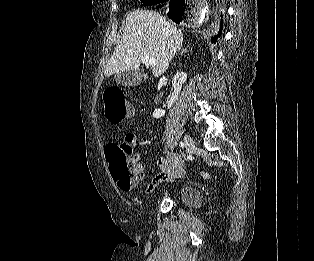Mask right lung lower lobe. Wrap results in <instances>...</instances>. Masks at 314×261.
<instances>
[{"label":"right lung lower lobe","mask_w":314,"mask_h":261,"mask_svg":"<svg viewBox=\"0 0 314 261\" xmlns=\"http://www.w3.org/2000/svg\"><path fill=\"white\" fill-rule=\"evenodd\" d=\"M159 3H163L166 5V7H168V17L170 19H172L174 22L176 23H180L182 20H185L186 16H185V10H186V5L183 1H179V0H162ZM162 5L157 6V8H161ZM221 17H222V13H221ZM221 32H222V23L220 24V29L218 34L213 35L211 37V42L212 43H216V41L218 40V38L221 36Z\"/></svg>","instance_id":"obj_1"}]
</instances>
